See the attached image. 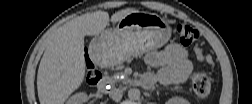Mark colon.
<instances>
[{
    "label": "colon",
    "mask_w": 252,
    "mask_h": 104,
    "mask_svg": "<svg viewBox=\"0 0 252 104\" xmlns=\"http://www.w3.org/2000/svg\"><path fill=\"white\" fill-rule=\"evenodd\" d=\"M176 33L179 42L184 46H191L199 38V32L187 23H178L176 25ZM198 59L205 62H212V58L208 55L197 51ZM101 78V74L92 62L86 64L85 83L87 85L95 84ZM192 86L195 94L200 98L207 97L211 92V83L209 78L202 73H196L191 78Z\"/></svg>",
    "instance_id": "obj_1"
}]
</instances>
